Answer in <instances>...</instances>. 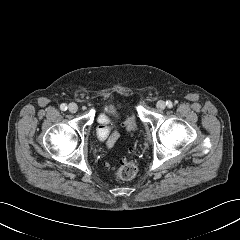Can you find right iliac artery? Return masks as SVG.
<instances>
[{"instance_id":"right-iliac-artery-1","label":"right iliac artery","mask_w":240,"mask_h":240,"mask_svg":"<svg viewBox=\"0 0 240 240\" xmlns=\"http://www.w3.org/2000/svg\"><path fill=\"white\" fill-rule=\"evenodd\" d=\"M60 109H61L62 111H66V110H67V105H66L65 103L61 104V105H60Z\"/></svg>"}]
</instances>
